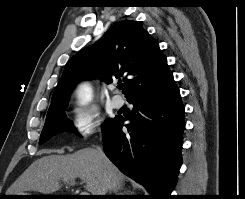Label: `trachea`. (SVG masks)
<instances>
[{"mask_svg": "<svg viewBox=\"0 0 245 199\" xmlns=\"http://www.w3.org/2000/svg\"><path fill=\"white\" fill-rule=\"evenodd\" d=\"M118 88H119V89H122V88H123V85H118Z\"/></svg>", "mask_w": 245, "mask_h": 199, "instance_id": "trachea-1", "label": "trachea"}]
</instances>
